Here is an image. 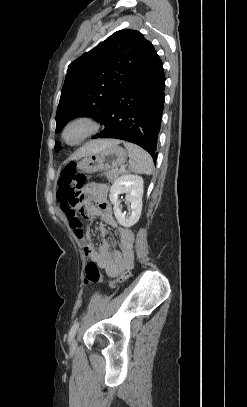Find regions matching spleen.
<instances>
[{"label":"spleen","mask_w":247,"mask_h":407,"mask_svg":"<svg viewBox=\"0 0 247 407\" xmlns=\"http://www.w3.org/2000/svg\"><path fill=\"white\" fill-rule=\"evenodd\" d=\"M124 146L127 148L130 157L129 170L136 174L151 175L154 167L151 156L133 143L124 142Z\"/></svg>","instance_id":"3e777b00"}]
</instances>
